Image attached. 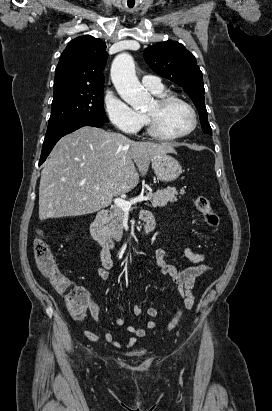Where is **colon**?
<instances>
[{
  "mask_svg": "<svg viewBox=\"0 0 272 411\" xmlns=\"http://www.w3.org/2000/svg\"><path fill=\"white\" fill-rule=\"evenodd\" d=\"M195 206L202 214L205 222L216 228L219 225V216L213 210L209 199L205 196H199L195 199ZM34 259L40 274L45 277L52 287L65 299L67 308L76 320H81L91 301L89 294L79 286L73 284L70 279L58 268L50 246L43 236L35 239L33 245ZM190 299L184 303L185 308H189ZM182 316V310L179 309L172 321L168 325V330H172L177 325Z\"/></svg>",
  "mask_w": 272,
  "mask_h": 411,
  "instance_id": "obj_1",
  "label": "colon"
}]
</instances>
